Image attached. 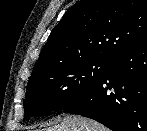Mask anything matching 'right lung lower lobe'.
I'll return each instance as SVG.
<instances>
[{
  "instance_id": "obj_1",
  "label": "right lung lower lobe",
  "mask_w": 147,
  "mask_h": 131,
  "mask_svg": "<svg viewBox=\"0 0 147 131\" xmlns=\"http://www.w3.org/2000/svg\"><path fill=\"white\" fill-rule=\"evenodd\" d=\"M63 111L113 131H147V39L113 59L103 79Z\"/></svg>"
}]
</instances>
